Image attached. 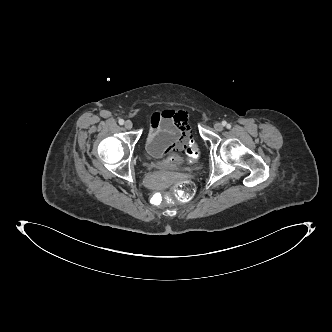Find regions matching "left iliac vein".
<instances>
[{
  "label": "left iliac vein",
  "instance_id": "left-iliac-vein-1",
  "mask_svg": "<svg viewBox=\"0 0 332 332\" xmlns=\"http://www.w3.org/2000/svg\"><path fill=\"white\" fill-rule=\"evenodd\" d=\"M214 128H215L216 131L220 132V131L223 130V125L221 123L217 122V123L214 124Z\"/></svg>",
  "mask_w": 332,
  "mask_h": 332
}]
</instances>
